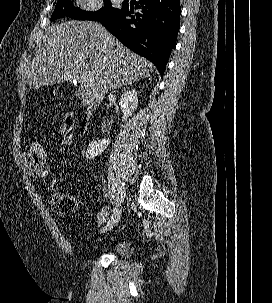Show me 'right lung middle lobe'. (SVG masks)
Returning a JSON list of instances; mask_svg holds the SVG:
<instances>
[{"instance_id": "right-lung-middle-lobe-1", "label": "right lung middle lobe", "mask_w": 272, "mask_h": 303, "mask_svg": "<svg viewBox=\"0 0 272 303\" xmlns=\"http://www.w3.org/2000/svg\"><path fill=\"white\" fill-rule=\"evenodd\" d=\"M105 5L97 12H87L80 8H75L71 0H58L51 21L65 16H70L75 20H103L116 15L122 9L112 7L109 0H105Z\"/></svg>"}]
</instances>
